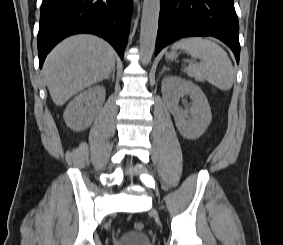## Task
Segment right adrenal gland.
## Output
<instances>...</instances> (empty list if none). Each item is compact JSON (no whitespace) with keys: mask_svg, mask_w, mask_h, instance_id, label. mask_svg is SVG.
Instances as JSON below:
<instances>
[{"mask_svg":"<svg viewBox=\"0 0 283 245\" xmlns=\"http://www.w3.org/2000/svg\"><path fill=\"white\" fill-rule=\"evenodd\" d=\"M107 79H112V81L115 80V69H113L112 74L108 76Z\"/></svg>","mask_w":283,"mask_h":245,"instance_id":"right-adrenal-gland-1","label":"right adrenal gland"}]
</instances>
